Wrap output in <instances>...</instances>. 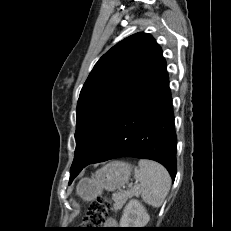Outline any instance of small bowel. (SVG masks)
Wrapping results in <instances>:
<instances>
[{"label":"small bowel","instance_id":"c3829d8e","mask_svg":"<svg viewBox=\"0 0 231 231\" xmlns=\"http://www.w3.org/2000/svg\"><path fill=\"white\" fill-rule=\"evenodd\" d=\"M116 224L115 219L108 218L105 222V231H108L110 228L114 227Z\"/></svg>","mask_w":231,"mask_h":231}]
</instances>
